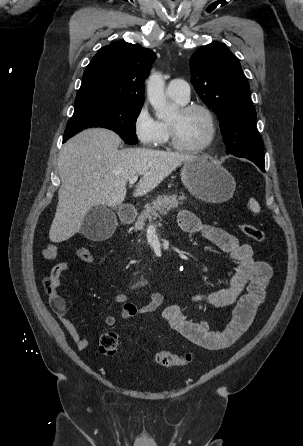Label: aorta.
<instances>
[{"mask_svg":"<svg viewBox=\"0 0 303 446\" xmlns=\"http://www.w3.org/2000/svg\"><path fill=\"white\" fill-rule=\"evenodd\" d=\"M165 81L159 72L150 75L147 81V98L156 112L158 119H167L174 114V108L168 103L164 93Z\"/></svg>","mask_w":303,"mask_h":446,"instance_id":"aorta-1","label":"aorta"}]
</instances>
